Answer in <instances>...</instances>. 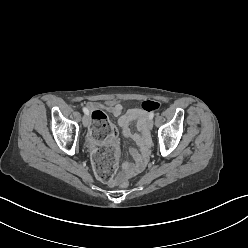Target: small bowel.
<instances>
[{"instance_id":"c3829d8e","label":"small bowel","mask_w":248,"mask_h":248,"mask_svg":"<svg viewBox=\"0 0 248 248\" xmlns=\"http://www.w3.org/2000/svg\"><path fill=\"white\" fill-rule=\"evenodd\" d=\"M89 110L106 109L114 117L118 118V124L125 138L134 141L139 149H130V153L134 162L125 161L122 164V175L132 177L140 172L146 162L148 155L149 140L147 137V113L141 109H128L124 111L123 106L112 101L106 102L105 105L99 103H89ZM135 123L139 133H134L131 130V124ZM110 144H116V139L111 136L108 139Z\"/></svg>"}]
</instances>
